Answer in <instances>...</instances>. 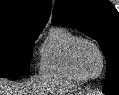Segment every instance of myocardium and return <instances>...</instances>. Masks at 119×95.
<instances>
[{
	"label": "myocardium",
	"mask_w": 119,
	"mask_h": 95,
	"mask_svg": "<svg viewBox=\"0 0 119 95\" xmlns=\"http://www.w3.org/2000/svg\"><path fill=\"white\" fill-rule=\"evenodd\" d=\"M85 45H90V46L94 47L100 56L101 67H100L98 74H96V75L87 74L80 65L79 53H80L81 48ZM71 62H72L74 69L76 70V72L86 80L87 79H96V78L100 77L105 69V64H106L105 55H104L101 47L98 45V43H96L95 41H93L91 39H86V38L79 39L73 46V49L71 52Z\"/></svg>",
	"instance_id": "obj_1"
}]
</instances>
